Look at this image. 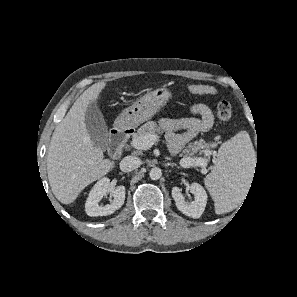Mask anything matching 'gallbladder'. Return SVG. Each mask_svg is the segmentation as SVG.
<instances>
[{
    "label": "gallbladder",
    "instance_id": "gallbladder-1",
    "mask_svg": "<svg viewBox=\"0 0 297 297\" xmlns=\"http://www.w3.org/2000/svg\"><path fill=\"white\" fill-rule=\"evenodd\" d=\"M85 124L91 140L101 150H105L108 145V127L94 101L88 104L85 113Z\"/></svg>",
    "mask_w": 297,
    "mask_h": 297
}]
</instances>
